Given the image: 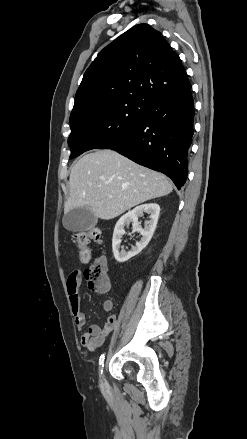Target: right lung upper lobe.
<instances>
[{"label":"right lung upper lobe","mask_w":247,"mask_h":439,"mask_svg":"<svg viewBox=\"0 0 247 439\" xmlns=\"http://www.w3.org/2000/svg\"><path fill=\"white\" fill-rule=\"evenodd\" d=\"M190 87L178 54L162 34L139 24L106 46L88 67L71 116L121 100L150 105Z\"/></svg>","instance_id":"1"}]
</instances>
